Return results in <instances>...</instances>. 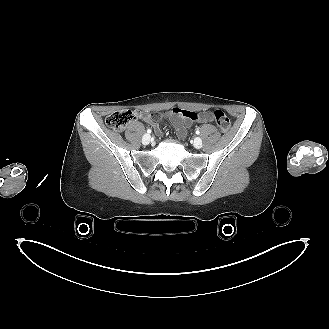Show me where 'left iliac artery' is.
Returning <instances> with one entry per match:
<instances>
[{
  "instance_id": "left-iliac-artery-1",
  "label": "left iliac artery",
  "mask_w": 329,
  "mask_h": 329,
  "mask_svg": "<svg viewBox=\"0 0 329 329\" xmlns=\"http://www.w3.org/2000/svg\"><path fill=\"white\" fill-rule=\"evenodd\" d=\"M196 134H197V135H199V134H200V131H199L198 129L196 130Z\"/></svg>"
}]
</instances>
